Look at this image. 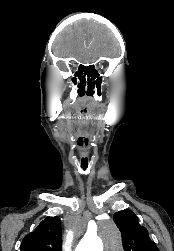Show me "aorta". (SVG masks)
Wrapping results in <instances>:
<instances>
[{
  "label": "aorta",
  "instance_id": "1",
  "mask_svg": "<svg viewBox=\"0 0 174 251\" xmlns=\"http://www.w3.org/2000/svg\"><path fill=\"white\" fill-rule=\"evenodd\" d=\"M105 248L108 251H118L121 246V237L114 225H107L103 229ZM104 245L98 238L84 237L75 251H103Z\"/></svg>",
  "mask_w": 174,
  "mask_h": 251
}]
</instances>
